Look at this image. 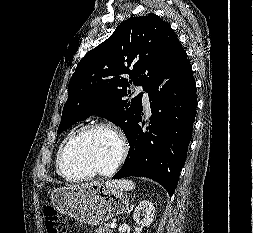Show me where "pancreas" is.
<instances>
[{"label":"pancreas","mask_w":253,"mask_h":233,"mask_svg":"<svg viewBox=\"0 0 253 233\" xmlns=\"http://www.w3.org/2000/svg\"><path fill=\"white\" fill-rule=\"evenodd\" d=\"M96 233H112V229L110 228V224H104V226H99L96 229Z\"/></svg>","instance_id":"pancreas-1"}]
</instances>
